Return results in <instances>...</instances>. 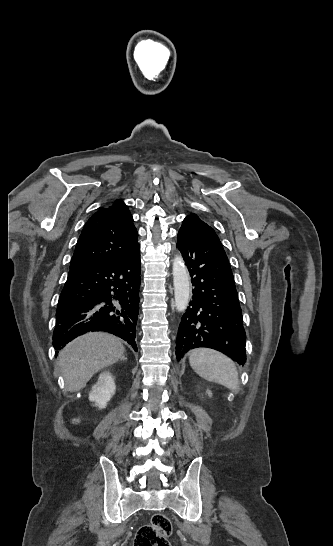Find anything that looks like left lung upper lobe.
<instances>
[{
    "instance_id": "1",
    "label": "left lung upper lobe",
    "mask_w": 333,
    "mask_h": 546,
    "mask_svg": "<svg viewBox=\"0 0 333 546\" xmlns=\"http://www.w3.org/2000/svg\"><path fill=\"white\" fill-rule=\"evenodd\" d=\"M185 220H192L202 226L212 237H215L218 239V236L216 235L215 231L206 223H204L202 220L199 219V217L195 214H191L185 218Z\"/></svg>"
}]
</instances>
